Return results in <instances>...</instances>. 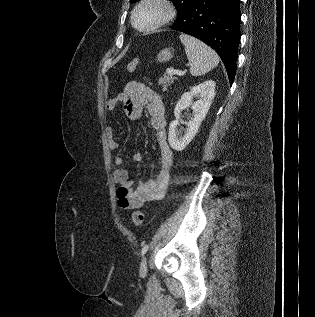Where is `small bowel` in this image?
Returning <instances> with one entry per match:
<instances>
[{"label":"small bowel","instance_id":"small-bowel-1","mask_svg":"<svg viewBox=\"0 0 315 317\" xmlns=\"http://www.w3.org/2000/svg\"><path fill=\"white\" fill-rule=\"evenodd\" d=\"M118 104H122L126 116L130 120H137L143 109L149 113V122L154 129L160 148V168L154 179H147L135 183L130 179L125 168L127 159L140 162L143 155L135 152L130 156L117 155L114 158L115 170L113 178L118 185L117 198L121 208L130 210L142 207L145 203L160 200L164 197L170 179L173 164V153L167 142L165 107L161 96L154 90L140 82H129L122 93L108 101L107 111H113ZM106 139L110 150L116 151L120 144L115 140L114 128H106Z\"/></svg>","mask_w":315,"mask_h":317}]
</instances>
